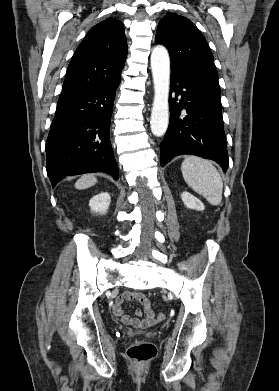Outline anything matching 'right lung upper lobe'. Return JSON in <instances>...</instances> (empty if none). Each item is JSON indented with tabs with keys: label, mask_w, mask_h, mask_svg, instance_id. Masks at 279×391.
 I'll list each match as a JSON object with an SVG mask.
<instances>
[{
	"label": "right lung upper lobe",
	"mask_w": 279,
	"mask_h": 391,
	"mask_svg": "<svg viewBox=\"0 0 279 391\" xmlns=\"http://www.w3.org/2000/svg\"><path fill=\"white\" fill-rule=\"evenodd\" d=\"M126 56L123 23L107 18L96 24L72 57L60 97L90 91L120 78Z\"/></svg>",
	"instance_id": "1"
}]
</instances>
